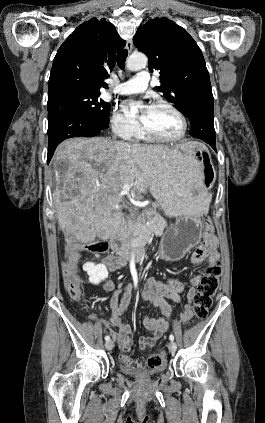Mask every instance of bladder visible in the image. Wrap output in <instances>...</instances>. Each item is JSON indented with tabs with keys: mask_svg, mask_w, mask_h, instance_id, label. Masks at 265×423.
I'll list each match as a JSON object with an SVG mask.
<instances>
[{
	"mask_svg": "<svg viewBox=\"0 0 265 423\" xmlns=\"http://www.w3.org/2000/svg\"><path fill=\"white\" fill-rule=\"evenodd\" d=\"M119 368L125 374L135 376V377H140V378L154 377L156 375H159L164 370V367H157V368L132 367V366L125 365L123 362L119 363Z\"/></svg>",
	"mask_w": 265,
	"mask_h": 423,
	"instance_id": "obj_1",
	"label": "bladder"
}]
</instances>
